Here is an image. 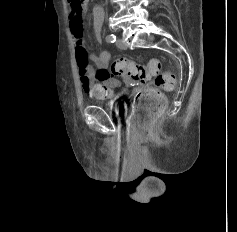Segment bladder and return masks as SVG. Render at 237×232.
<instances>
[{
    "instance_id": "bladder-1",
    "label": "bladder",
    "mask_w": 237,
    "mask_h": 232,
    "mask_svg": "<svg viewBox=\"0 0 237 232\" xmlns=\"http://www.w3.org/2000/svg\"><path fill=\"white\" fill-rule=\"evenodd\" d=\"M108 106L113 109V111L120 116H124L126 114L127 104L124 100L118 99L111 103H108Z\"/></svg>"
}]
</instances>
